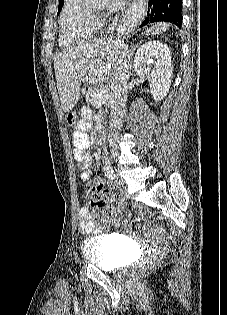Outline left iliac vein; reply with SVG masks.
I'll return each mask as SVG.
<instances>
[{"instance_id": "4c4485c4", "label": "left iliac vein", "mask_w": 227, "mask_h": 315, "mask_svg": "<svg viewBox=\"0 0 227 315\" xmlns=\"http://www.w3.org/2000/svg\"><path fill=\"white\" fill-rule=\"evenodd\" d=\"M115 185L116 186H122L123 185V181L119 176L116 177Z\"/></svg>"}]
</instances>
